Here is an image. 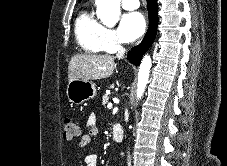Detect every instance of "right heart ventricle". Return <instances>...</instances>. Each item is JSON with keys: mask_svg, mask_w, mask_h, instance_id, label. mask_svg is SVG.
<instances>
[{"mask_svg": "<svg viewBox=\"0 0 227 166\" xmlns=\"http://www.w3.org/2000/svg\"><path fill=\"white\" fill-rule=\"evenodd\" d=\"M106 27L95 17L91 9H83L75 21V37L80 48L87 53L104 51Z\"/></svg>", "mask_w": 227, "mask_h": 166, "instance_id": "right-heart-ventricle-1", "label": "right heart ventricle"}]
</instances>
